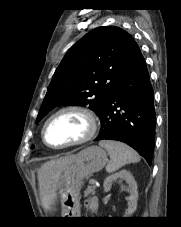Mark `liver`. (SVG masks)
I'll list each match as a JSON object with an SVG mask.
<instances>
[{
	"label": "liver",
	"instance_id": "obj_1",
	"mask_svg": "<svg viewBox=\"0 0 181 227\" xmlns=\"http://www.w3.org/2000/svg\"><path fill=\"white\" fill-rule=\"evenodd\" d=\"M76 155H67L45 162L38 170V185L41 202L46 210L55 205L58 198V189L61 188L62 174L72 163Z\"/></svg>",
	"mask_w": 181,
	"mask_h": 227
}]
</instances>
